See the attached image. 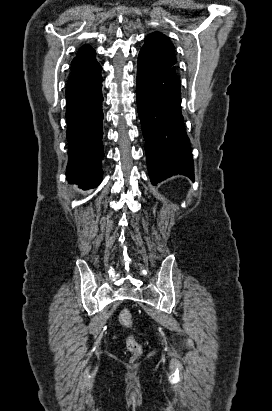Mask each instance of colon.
I'll return each instance as SVG.
<instances>
[{
  "instance_id": "1",
  "label": "colon",
  "mask_w": 272,
  "mask_h": 411,
  "mask_svg": "<svg viewBox=\"0 0 272 411\" xmlns=\"http://www.w3.org/2000/svg\"><path fill=\"white\" fill-rule=\"evenodd\" d=\"M119 320L123 326L127 328L132 327L133 318L132 314L129 311H122L120 313ZM126 347L132 353L133 359L138 358L142 354V345L135 339L134 336H128L126 338Z\"/></svg>"
}]
</instances>
